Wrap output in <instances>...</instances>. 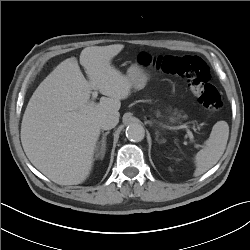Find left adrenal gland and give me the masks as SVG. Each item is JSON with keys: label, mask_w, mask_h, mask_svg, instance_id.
Returning <instances> with one entry per match:
<instances>
[{"label": "left adrenal gland", "mask_w": 250, "mask_h": 250, "mask_svg": "<svg viewBox=\"0 0 250 250\" xmlns=\"http://www.w3.org/2000/svg\"><path fill=\"white\" fill-rule=\"evenodd\" d=\"M157 137H158V135H157ZM165 142H166V140L163 139L160 143H165Z\"/></svg>", "instance_id": "1"}]
</instances>
